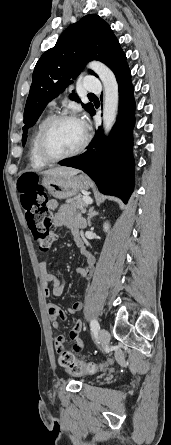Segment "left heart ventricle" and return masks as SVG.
I'll use <instances>...</instances> for the list:
<instances>
[{
  "instance_id": "b2bd125f",
  "label": "left heart ventricle",
  "mask_w": 171,
  "mask_h": 445,
  "mask_svg": "<svg viewBox=\"0 0 171 445\" xmlns=\"http://www.w3.org/2000/svg\"><path fill=\"white\" fill-rule=\"evenodd\" d=\"M83 125L77 121L66 120L54 125L45 140V149L52 156L67 154L82 143Z\"/></svg>"
}]
</instances>
